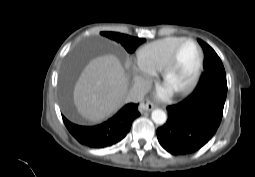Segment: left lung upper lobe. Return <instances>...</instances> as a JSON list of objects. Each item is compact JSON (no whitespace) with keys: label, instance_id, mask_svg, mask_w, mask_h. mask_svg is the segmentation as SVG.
<instances>
[{"label":"left lung upper lobe","instance_id":"5c2ea615","mask_svg":"<svg viewBox=\"0 0 255 177\" xmlns=\"http://www.w3.org/2000/svg\"><path fill=\"white\" fill-rule=\"evenodd\" d=\"M205 55V72L203 73L196 90L218 88L227 91L226 73L223 64L215 51L205 42L198 39Z\"/></svg>","mask_w":255,"mask_h":177}]
</instances>
